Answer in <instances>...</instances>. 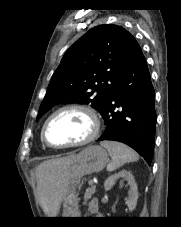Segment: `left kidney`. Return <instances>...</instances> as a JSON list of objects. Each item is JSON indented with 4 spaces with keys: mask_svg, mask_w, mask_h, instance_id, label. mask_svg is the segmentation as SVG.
Segmentation results:
<instances>
[{
    "mask_svg": "<svg viewBox=\"0 0 181 227\" xmlns=\"http://www.w3.org/2000/svg\"><path fill=\"white\" fill-rule=\"evenodd\" d=\"M119 178H122L123 180L127 181L128 185L130 186V190L128 192V198L126 199V204L128 206L129 211H133L137 205L138 190H137V185H136L134 176L130 171L121 170L120 172L109 176L104 182L105 190L106 191L110 190L115 180Z\"/></svg>",
    "mask_w": 181,
    "mask_h": 227,
    "instance_id": "obj_1",
    "label": "left kidney"
}]
</instances>
